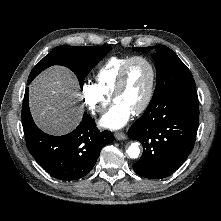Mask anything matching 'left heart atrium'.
<instances>
[{
	"mask_svg": "<svg viewBox=\"0 0 221 221\" xmlns=\"http://www.w3.org/2000/svg\"><path fill=\"white\" fill-rule=\"evenodd\" d=\"M132 112L124 105L115 103L113 107L101 118L100 125L108 129H120L130 119Z\"/></svg>",
	"mask_w": 221,
	"mask_h": 221,
	"instance_id": "obj_1",
	"label": "left heart atrium"
}]
</instances>
